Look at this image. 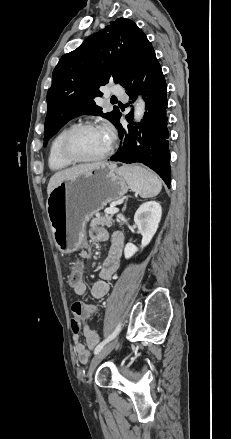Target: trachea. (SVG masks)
<instances>
[{
	"label": "trachea",
	"instance_id": "obj_1",
	"mask_svg": "<svg viewBox=\"0 0 231 439\" xmlns=\"http://www.w3.org/2000/svg\"><path fill=\"white\" fill-rule=\"evenodd\" d=\"M111 99H112V100H117V98H116L115 96H113Z\"/></svg>",
	"mask_w": 231,
	"mask_h": 439
}]
</instances>
